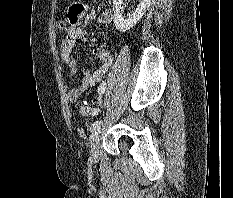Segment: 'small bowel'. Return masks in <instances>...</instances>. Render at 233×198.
Masks as SVG:
<instances>
[{
	"label": "small bowel",
	"instance_id": "c3829d8e",
	"mask_svg": "<svg viewBox=\"0 0 233 198\" xmlns=\"http://www.w3.org/2000/svg\"><path fill=\"white\" fill-rule=\"evenodd\" d=\"M86 11L87 8L84 4L74 3L70 6L67 13L69 27L61 43V59L63 64L68 68L69 75L72 77L76 76L79 71L73 57V49L78 43L87 40V33L81 27ZM112 19V10L104 9L98 15L97 22L102 26H107L112 22ZM94 56L99 62V66L92 71H86L79 84L68 91L67 97L70 102H75L84 91L89 87L95 86L112 64V54L104 47L95 49Z\"/></svg>",
	"mask_w": 233,
	"mask_h": 198
}]
</instances>
